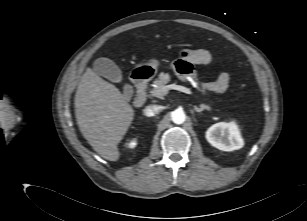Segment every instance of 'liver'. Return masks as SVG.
I'll return each instance as SVG.
<instances>
[{"label":"liver","mask_w":307,"mask_h":221,"mask_svg":"<svg viewBox=\"0 0 307 221\" xmlns=\"http://www.w3.org/2000/svg\"><path fill=\"white\" fill-rule=\"evenodd\" d=\"M75 115L84 138L104 159L117 161L134 110L114 85L92 69L83 74L75 94Z\"/></svg>","instance_id":"liver-1"}]
</instances>
